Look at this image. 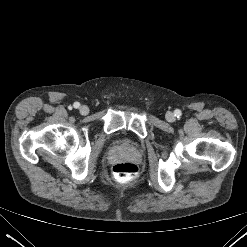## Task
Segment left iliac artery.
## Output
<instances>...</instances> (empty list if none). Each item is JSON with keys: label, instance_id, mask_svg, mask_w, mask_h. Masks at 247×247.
<instances>
[{"label": "left iliac artery", "instance_id": "44dca946", "mask_svg": "<svg viewBox=\"0 0 247 247\" xmlns=\"http://www.w3.org/2000/svg\"><path fill=\"white\" fill-rule=\"evenodd\" d=\"M182 115L181 111L179 109L175 110V116L179 118Z\"/></svg>", "mask_w": 247, "mask_h": 247}]
</instances>
